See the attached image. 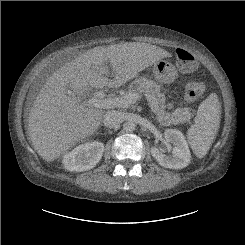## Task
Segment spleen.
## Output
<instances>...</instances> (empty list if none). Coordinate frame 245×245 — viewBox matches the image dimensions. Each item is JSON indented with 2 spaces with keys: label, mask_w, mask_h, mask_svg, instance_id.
<instances>
[{
  "label": "spleen",
  "mask_w": 245,
  "mask_h": 245,
  "mask_svg": "<svg viewBox=\"0 0 245 245\" xmlns=\"http://www.w3.org/2000/svg\"><path fill=\"white\" fill-rule=\"evenodd\" d=\"M221 117V105L215 93L210 94L198 107L194 124L187 132L191 149L199 158L204 157L215 139Z\"/></svg>",
  "instance_id": "spleen-1"
}]
</instances>
